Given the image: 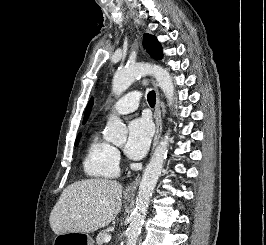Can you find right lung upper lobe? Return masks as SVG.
<instances>
[{
    "label": "right lung upper lobe",
    "mask_w": 266,
    "mask_h": 245,
    "mask_svg": "<svg viewBox=\"0 0 266 245\" xmlns=\"http://www.w3.org/2000/svg\"><path fill=\"white\" fill-rule=\"evenodd\" d=\"M92 105H93V99H91L88 103V106L86 108V111H85V115H84V120H83V124L87 121L88 117H89V114L91 112V109H92Z\"/></svg>",
    "instance_id": "1"
}]
</instances>
